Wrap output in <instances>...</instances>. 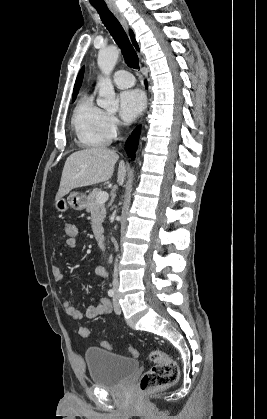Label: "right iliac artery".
I'll list each match as a JSON object with an SVG mask.
<instances>
[{"label": "right iliac artery", "instance_id": "right-iliac-artery-1", "mask_svg": "<svg viewBox=\"0 0 267 419\" xmlns=\"http://www.w3.org/2000/svg\"><path fill=\"white\" fill-rule=\"evenodd\" d=\"M114 294H115V292H114V290H113V289H110V290L108 291V295H109L110 297H113V296H114Z\"/></svg>", "mask_w": 267, "mask_h": 419}]
</instances>
